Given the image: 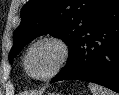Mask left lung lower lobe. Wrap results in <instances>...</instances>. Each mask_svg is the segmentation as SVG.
Here are the masks:
<instances>
[{
	"instance_id": "1",
	"label": "left lung lower lobe",
	"mask_w": 119,
	"mask_h": 95,
	"mask_svg": "<svg viewBox=\"0 0 119 95\" xmlns=\"http://www.w3.org/2000/svg\"><path fill=\"white\" fill-rule=\"evenodd\" d=\"M83 80L119 93V0H113L84 34L72 64L51 83Z\"/></svg>"
}]
</instances>
